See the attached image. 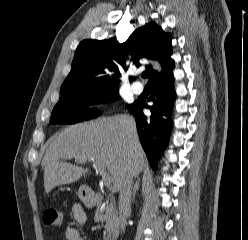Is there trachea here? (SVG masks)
<instances>
[{
  "mask_svg": "<svg viewBox=\"0 0 248 240\" xmlns=\"http://www.w3.org/2000/svg\"><path fill=\"white\" fill-rule=\"evenodd\" d=\"M142 77L143 78H148L149 77V72L148 71L143 72Z\"/></svg>",
  "mask_w": 248,
  "mask_h": 240,
  "instance_id": "3493384b",
  "label": "trachea"
}]
</instances>
